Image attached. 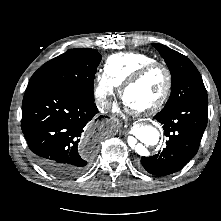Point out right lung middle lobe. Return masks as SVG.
I'll list each match as a JSON object with an SVG mask.
<instances>
[{"instance_id": "right-lung-middle-lobe-1", "label": "right lung middle lobe", "mask_w": 221, "mask_h": 221, "mask_svg": "<svg viewBox=\"0 0 221 221\" xmlns=\"http://www.w3.org/2000/svg\"><path fill=\"white\" fill-rule=\"evenodd\" d=\"M101 55L90 48L69 49L42 65L29 85L40 82L94 101L93 83Z\"/></svg>"}]
</instances>
